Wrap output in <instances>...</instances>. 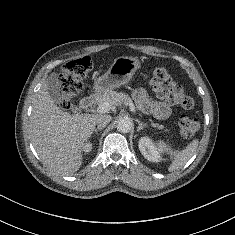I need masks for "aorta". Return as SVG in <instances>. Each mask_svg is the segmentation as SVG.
<instances>
[{
  "label": "aorta",
  "mask_w": 235,
  "mask_h": 235,
  "mask_svg": "<svg viewBox=\"0 0 235 235\" xmlns=\"http://www.w3.org/2000/svg\"><path fill=\"white\" fill-rule=\"evenodd\" d=\"M132 128V122L129 118H121L117 121V130L121 133H128Z\"/></svg>",
  "instance_id": "aorta-1"
}]
</instances>
